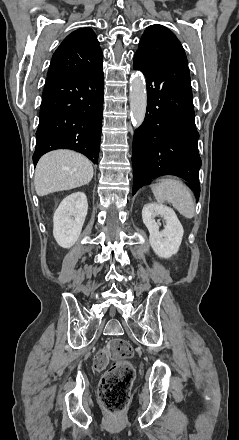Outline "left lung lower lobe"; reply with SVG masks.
I'll return each mask as SVG.
<instances>
[{"instance_id": "obj_1", "label": "left lung lower lobe", "mask_w": 239, "mask_h": 440, "mask_svg": "<svg viewBox=\"0 0 239 440\" xmlns=\"http://www.w3.org/2000/svg\"><path fill=\"white\" fill-rule=\"evenodd\" d=\"M134 69L147 83V114L133 138V194L144 181L175 175L200 195L199 134L195 126L189 68L186 64L152 61L138 54Z\"/></svg>"}]
</instances>
